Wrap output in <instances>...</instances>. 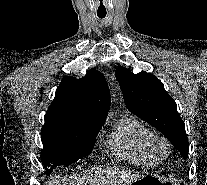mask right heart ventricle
Segmentation results:
<instances>
[{"label": "right heart ventricle", "instance_id": "e07e8e85", "mask_svg": "<svg viewBox=\"0 0 207 185\" xmlns=\"http://www.w3.org/2000/svg\"><path fill=\"white\" fill-rule=\"evenodd\" d=\"M113 146L120 155L136 164L153 165L160 160L151 130L128 115L118 122L113 135Z\"/></svg>", "mask_w": 207, "mask_h": 185}]
</instances>
